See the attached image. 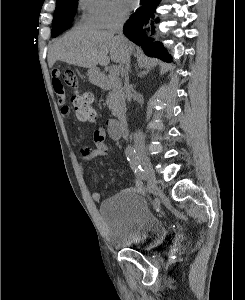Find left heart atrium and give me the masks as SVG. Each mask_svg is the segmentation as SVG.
<instances>
[{"instance_id": "39dd6f15", "label": "left heart atrium", "mask_w": 245, "mask_h": 300, "mask_svg": "<svg viewBox=\"0 0 245 300\" xmlns=\"http://www.w3.org/2000/svg\"><path fill=\"white\" fill-rule=\"evenodd\" d=\"M138 0H122L124 5L128 8H134L137 5Z\"/></svg>"}]
</instances>
